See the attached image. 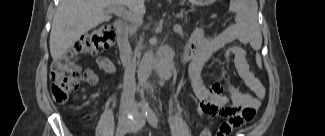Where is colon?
Returning <instances> with one entry per match:
<instances>
[{"label":"colon","instance_id":"colon-1","mask_svg":"<svg viewBox=\"0 0 325 136\" xmlns=\"http://www.w3.org/2000/svg\"><path fill=\"white\" fill-rule=\"evenodd\" d=\"M116 36L114 25L101 26L82 35L63 56L54 60L51 65V91L57 102L66 101L81 82L82 70L77 64L79 57L109 48L114 44ZM200 136H212L210 128H205Z\"/></svg>","mask_w":325,"mask_h":136}]
</instances>
